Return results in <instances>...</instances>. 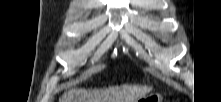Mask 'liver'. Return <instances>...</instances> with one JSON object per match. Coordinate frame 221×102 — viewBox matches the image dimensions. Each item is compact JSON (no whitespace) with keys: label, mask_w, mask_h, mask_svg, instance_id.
<instances>
[{"label":"liver","mask_w":221,"mask_h":102,"mask_svg":"<svg viewBox=\"0 0 221 102\" xmlns=\"http://www.w3.org/2000/svg\"><path fill=\"white\" fill-rule=\"evenodd\" d=\"M151 89L148 86L128 84L100 90L72 88L63 94L60 102H137Z\"/></svg>","instance_id":"liver-1"}]
</instances>
